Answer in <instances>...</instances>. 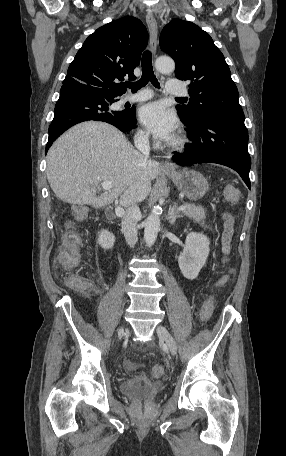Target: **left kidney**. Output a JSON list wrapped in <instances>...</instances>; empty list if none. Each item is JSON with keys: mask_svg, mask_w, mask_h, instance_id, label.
Masks as SVG:
<instances>
[{"mask_svg": "<svg viewBox=\"0 0 286 456\" xmlns=\"http://www.w3.org/2000/svg\"><path fill=\"white\" fill-rule=\"evenodd\" d=\"M210 241L207 236L191 232L187 235L178 264L183 276L189 280L197 278L209 255Z\"/></svg>", "mask_w": 286, "mask_h": 456, "instance_id": "1", "label": "left kidney"}]
</instances>
